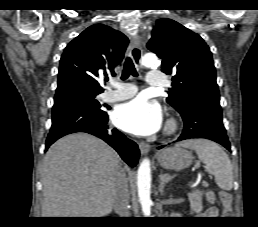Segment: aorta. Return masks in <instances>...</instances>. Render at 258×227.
<instances>
[{
	"label": "aorta",
	"mask_w": 258,
	"mask_h": 227,
	"mask_svg": "<svg viewBox=\"0 0 258 227\" xmlns=\"http://www.w3.org/2000/svg\"><path fill=\"white\" fill-rule=\"evenodd\" d=\"M157 64H158V58L155 54L148 53L142 57V65H144L145 67H153ZM150 187H151L150 160L148 158H145L140 163V166L137 172L138 198L145 217H149L151 214L152 201L150 198Z\"/></svg>",
	"instance_id": "obj_1"
}]
</instances>
